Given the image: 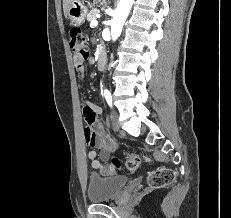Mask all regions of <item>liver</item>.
Listing matches in <instances>:
<instances>
[{
	"instance_id": "liver-1",
	"label": "liver",
	"mask_w": 231,
	"mask_h": 218,
	"mask_svg": "<svg viewBox=\"0 0 231 218\" xmlns=\"http://www.w3.org/2000/svg\"><path fill=\"white\" fill-rule=\"evenodd\" d=\"M74 0H63V11H64V16L67 17V12L69 9V6Z\"/></svg>"
}]
</instances>
